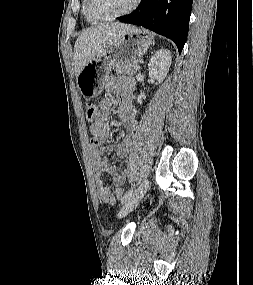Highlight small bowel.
Segmentation results:
<instances>
[{
  "label": "small bowel",
  "mask_w": 253,
  "mask_h": 285,
  "mask_svg": "<svg viewBox=\"0 0 253 285\" xmlns=\"http://www.w3.org/2000/svg\"><path fill=\"white\" fill-rule=\"evenodd\" d=\"M134 87L135 82L133 79L120 76L110 77L105 85L107 92L116 93L119 101L116 112L120 118L121 124L129 133V135L120 143L115 145H104L111 133L109 124L111 102L109 99L101 100L99 108L96 107L95 117L91 120L92 124L90 126V132L92 134V139L90 145L93 149L95 186L99 198L109 205H114L122 196L117 192L119 188L113 193L110 187L103 183L101 175L103 173L110 174L113 183L118 187L123 185L127 180L130 166L128 165L121 169L110 166L106 153L115 151L119 158H125L132 149L131 135L138 129L136 109L132 103Z\"/></svg>",
  "instance_id": "1"
}]
</instances>
